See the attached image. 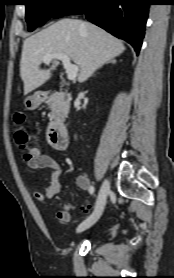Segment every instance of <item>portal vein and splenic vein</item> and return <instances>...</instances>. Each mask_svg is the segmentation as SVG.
I'll return each instance as SVG.
<instances>
[{"mask_svg":"<svg viewBox=\"0 0 174 278\" xmlns=\"http://www.w3.org/2000/svg\"><path fill=\"white\" fill-rule=\"evenodd\" d=\"M59 59L62 61L69 80H74L78 74L79 67L71 63L70 58L63 53H53L46 55L43 58L44 63H49L52 59Z\"/></svg>","mask_w":174,"mask_h":278,"instance_id":"1","label":"portal vein and splenic vein"}]
</instances>
